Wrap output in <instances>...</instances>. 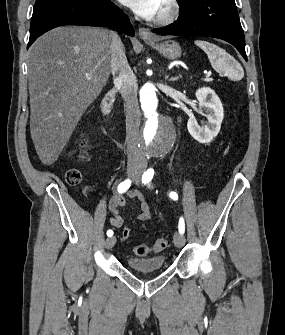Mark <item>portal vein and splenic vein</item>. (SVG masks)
I'll return each instance as SVG.
<instances>
[{
  "label": "portal vein and splenic vein",
  "mask_w": 285,
  "mask_h": 335,
  "mask_svg": "<svg viewBox=\"0 0 285 335\" xmlns=\"http://www.w3.org/2000/svg\"><path fill=\"white\" fill-rule=\"evenodd\" d=\"M87 80H91L92 78V74H85ZM208 78H210L209 74H206V78H204V80H208Z\"/></svg>",
  "instance_id": "portal-vein-and-splenic-vein-1"
}]
</instances>
